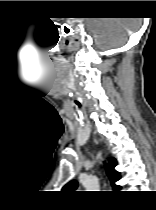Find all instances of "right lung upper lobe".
<instances>
[{
	"label": "right lung upper lobe",
	"mask_w": 156,
	"mask_h": 210,
	"mask_svg": "<svg viewBox=\"0 0 156 210\" xmlns=\"http://www.w3.org/2000/svg\"><path fill=\"white\" fill-rule=\"evenodd\" d=\"M116 165H117L116 159L110 158L107 168V175L109 177L112 187L114 189H119L120 186L116 185L115 182L118 181L121 178V176L120 173L114 169ZM77 186H78L77 181L72 180L65 187H68L69 189H76Z\"/></svg>",
	"instance_id": "right-lung-upper-lobe-1"
}]
</instances>
